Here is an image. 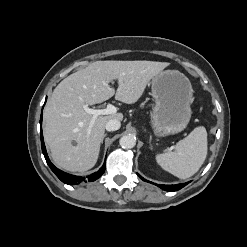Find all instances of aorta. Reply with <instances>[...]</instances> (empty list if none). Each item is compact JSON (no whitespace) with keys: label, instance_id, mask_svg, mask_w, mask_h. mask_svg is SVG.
Instances as JSON below:
<instances>
[{"label":"aorta","instance_id":"762f6f07","mask_svg":"<svg viewBox=\"0 0 247 247\" xmlns=\"http://www.w3.org/2000/svg\"><path fill=\"white\" fill-rule=\"evenodd\" d=\"M119 143L123 149H131L136 145V137L131 134L124 135L120 138Z\"/></svg>","mask_w":247,"mask_h":247}]
</instances>
